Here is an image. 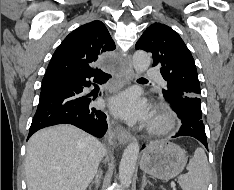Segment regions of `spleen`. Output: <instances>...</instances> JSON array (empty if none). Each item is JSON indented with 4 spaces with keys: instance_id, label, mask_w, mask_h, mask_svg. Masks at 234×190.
Returning a JSON list of instances; mask_svg holds the SVG:
<instances>
[{
    "instance_id": "3e777b00",
    "label": "spleen",
    "mask_w": 234,
    "mask_h": 190,
    "mask_svg": "<svg viewBox=\"0 0 234 190\" xmlns=\"http://www.w3.org/2000/svg\"><path fill=\"white\" fill-rule=\"evenodd\" d=\"M188 173L180 175L178 182L182 190H207L209 184V165L205 151L197 148L187 165Z\"/></svg>"
}]
</instances>
